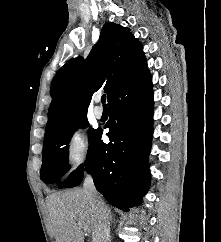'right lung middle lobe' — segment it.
<instances>
[{"instance_id":"right-lung-middle-lobe-1","label":"right lung middle lobe","mask_w":221,"mask_h":242,"mask_svg":"<svg viewBox=\"0 0 221 242\" xmlns=\"http://www.w3.org/2000/svg\"><path fill=\"white\" fill-rule=\"evenodd\" d=\"M86 117L79 118L59 133L44 139L40 178L47 183H55L69 170V142L78 127H87ZM96 130H89V141Z\"/></svg>"}]
</instances>
